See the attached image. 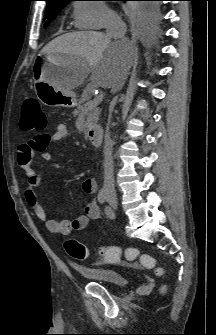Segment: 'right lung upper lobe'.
Masks as SVG:
<instances>
[{
  "label": "right lung upper lobe",
  "instance_id": "1",
  "mask_svg": "<svg viewBox=\"0 0 216 335\" xmlns=\"http://www.w3.org/2000/svg\"><path fill=\"white\" fill-rule=\"evenodd\" d=\"M46 1H47V5H50V4L60 3V2H70L71 0H46Z\"/></svg>",
  "mask_w": 216,
  "mask_h": 335
}]
</instances>
